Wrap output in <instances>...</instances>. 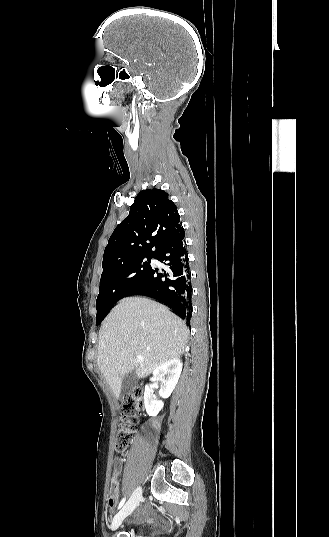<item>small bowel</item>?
Returning a JSON list of instances; mask_svg holds the SVG:
<instances>
[{"mask_svg":"<svg viewBox=\"0 0 329 537\" xmlns=\"http://www.w3.org/2000/svg\"><path fill=\"white\" fill-rule=\"evenodd\" d=\"M119 471H120V461L115 460V466H114V471H113V475H112V481L114 483V487H113V491H112V493L109 496L108 501H107L110 512L114 511V509H115V507H116V505L118 503L117 481H118V478H119ZM140 517L143 518L144 516L140 515Z\"/></svg>","mask_w":329,"mask_h":537,"instance_id":"small-bowel-1","label":"small bowel"}]
</instances>
